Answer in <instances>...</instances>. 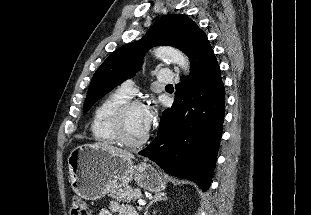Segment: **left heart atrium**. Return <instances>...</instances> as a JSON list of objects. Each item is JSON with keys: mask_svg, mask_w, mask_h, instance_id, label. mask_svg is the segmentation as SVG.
Returning <instances> with one entry per match:
<instances>
[{"mask_svg": "<svg viewBox=\"0 0 311 215\" xmlns=\"http://www.w3.org/2000/svg\"><path fill=\"white\" fill-rule=\"evenodd\" d=\"M153 119H154V110L152 108H144L142 115V126L145 133L149 131Z\"/></svg>", "mask_w": 311, "mask_h": 215, "instance_id": "left-heart-atrium-1", "label": "left heart atrium"}]
</instances>
